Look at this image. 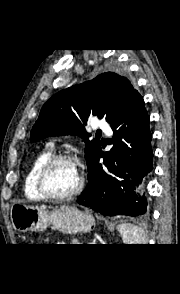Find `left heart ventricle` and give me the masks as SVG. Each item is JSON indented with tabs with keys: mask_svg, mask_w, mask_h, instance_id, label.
Listing matches in <instances>:
<instances>
[{
	"mask_svg": "<svg viewBox=\"0 0 180 294\" xmlns=\"http://www.w3.org/2000/svg\"><path fill=\"white\" fill-rule=\"evenodd\" d=\"M79 182V173L75 165L69 162L56 164L46 177V188L54 194H66L74 190Z\"/></svg>",
	"mask_w": 180,
	"mask_h": 294,
	"instance_id": "obj_1",
	"label": "left heart ventricle"
}]
</instances>
